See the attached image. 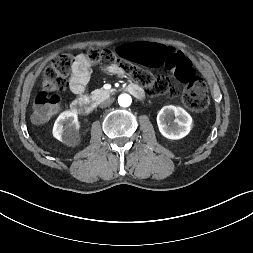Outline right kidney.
<instances>
[{
  "label": "right kidney",
  "mask_w": 253,
  "mask_h": 253,
  "mask_svg": "<svg viewBox=\"0 0 253 253\" xmlns=\"http://www.w3.org/2000/svg\"><path fill=\"white\" fill-rule=\"evenodd\" d=\"M79 128L77 113L67 110L62 112L55 121L53 136L69 146H75L79 142Z\"/></svg>",
  "instance_id": "right-kidney-1"
}]
</instances>
